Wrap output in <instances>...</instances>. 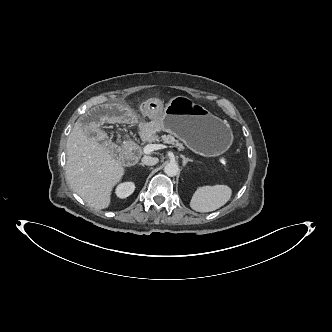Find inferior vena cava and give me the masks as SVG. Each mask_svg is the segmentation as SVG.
Listing matches in <instances>:
<instances>
[{"instance_id":"inferior-vena-cava-1","label":"inferior vena cava","mask_w":332,"mask_h":332,"mask_svg":"<svg viewBox=\"0 0 332 332\" xmlns=\"http://www.w3.org/2000/svg\"><path fill=\"white\" fill-rule=\"evenodd\" d=\"M158 158L157 157H150V156H144L141 160L142 164L147 165V166H153L158 163Z\"/></svg>"}]
</instances>
